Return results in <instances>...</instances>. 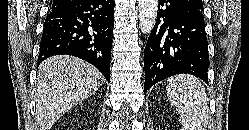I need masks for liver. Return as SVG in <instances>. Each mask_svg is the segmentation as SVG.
I'll return each instance as SVG.
<instances>
[{
	"instance_id": "obj_1",
	"label": "liver",
	"mask_w": 249,
	"mask_h": 130,
	"mask_svg": "<svg viewBox=\"0 0 249 130\" xmlns=\"http://www.w3.org/2000/svg\"><path fill=\"white\" fill-rule=\"evenodd\" d=\"M104 77L91 64L73 56H53L38 68L35 90L40 130H50L68 110L102 85Z\"/></svg>"
}]
</instances>
